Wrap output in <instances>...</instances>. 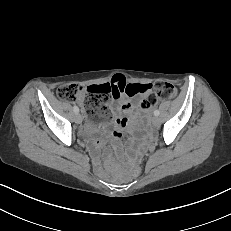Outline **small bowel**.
Here are the masks:
<instances>
[{"instance_id":"small-bowel-1","label":"small bowel","mask_w":231,"mask_h":231,"mask_svg":"<svg viewBox=\"0 0 231 231\" xmlns=\"http://www.w3.org/2000/svg\"><path fill=\"white\" fill-rule=\"evenodd\" d=\"M110 84L119 89L113 95V100L110 103L112 111L116 118L111 124V135L114 138L115 145H119V138L124 130L131 131L133 129L134 118L138 113V102L132 100L137 94H131L129 88L140 84L130 83L121 74H116L111 78ZM149 86L148 84H145ZM80 104V103H79ZM87 132L93 137V145L95 149H100L106 143V130L100 132L99 128L91 123L86 124Z\"/></svg>"}]
</instances>
